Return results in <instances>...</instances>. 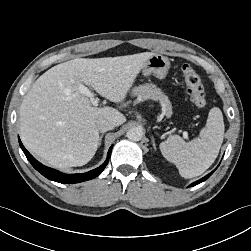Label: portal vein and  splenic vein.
<instances>
[{"label":"portal vein and splenic vein","instance_id":"18ae733b","mask_svg":"<svg viewBox=\"0 0 251 251\" xmlns=\"http://www.w3.org/2000/svg\"><path fill=\"white\" fill-rule=\"evenodd\" d=\"M76 84L78 86V93L88 97L93 106H98V99L95 97V95L87 87H85L81 83L76 82ZM183 135H184L185 139H188L187 132H184Z\"/></svg>","mask_w":251,"mask_h":251}]
</instances>
